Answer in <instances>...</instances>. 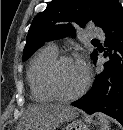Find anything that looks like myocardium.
Instances as JSON below:
<instances>
[{
    "label": "myocardium",
    "mask_w": 123,
    "mask_h": 130,
    "mask_svg": "<svg viewBox=\"0 0 123 130\" xmlns=\"http://www.w3.org/2000/svg\"><path fill=\"white\" fill-rule=\"evenodd\" d=\"M65 61H73V58L67 54H62L58 55L49 65L48 71H47V85L51 93L54 95V97L63 102H69L78 99L81 97L86 90L88 89L90 82H91V77L88 72H85V81L81 88L77 90L76 92L72 94H65L63 93L57 82V71L59 66L65 62Z\"/></svg>",
    "instance_id": "f54148a6"
}]
</instances>
